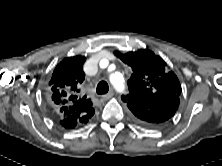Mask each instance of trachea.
I'll use <instances>...</instances> for the list:
<instances>
[{"label": "trachea", "instance_id": "3493384b", "mask_svg": "<svg viewBox=\"0 0 222 166\" xmlns=\"http://www.w3.org/2000/svg\"><path fill=\"white\" fill-rule=\"evenodd\" d=\"M109 90V86L107 84V82L105 81H100L97 85V88H96V92L97 94L99 95H102V94H106Z\"/></svg>", "mask_w": 222, "mask_h": 166}]
</instances>
